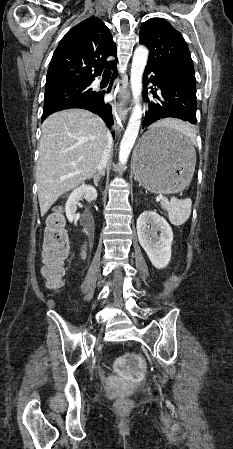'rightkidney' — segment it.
<instances>
[{
  "instance_id": "1",
  "label": "right kidney",
  "mask_w": 233,
  "mask_h": 449,
  "mask_svg": "<svg viewBox=\"0 0 233 449\" xmlns=\"http://www.w3.org/2000/svg\"><path fill=\"white\" fill-rule=\"evenodd\" d=\"M82 198L89 199L91 201L96 200V189L93 186L82 184L70 194L65 206L66 217L69 222H72L75 219L77 204Z\"/></svg>"
}]
</instances>
